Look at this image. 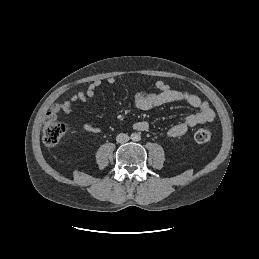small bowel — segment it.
Returning a JSON list of instances; mask_svg holds the SVG:
<instances>
[{
	"mask_svg": "<svg viewBox=\"0 0 259 259\" xmlns=\"http://www.w3.org/2000/svg\"><path fill=\"white\" fill-rule=\"evenodd\" d=\"M107 83L112 85L115 79L110 77ZM102 82L96 80L92 82L86 90H81L74 93L68 100L62 103V110L69 114L72 111L73 104L80 101L84 104H91L95 97L96 90L101 87ZM157 92L141 91L134 96V105L137 109L148 111L170 102H184L196 109V112L187 115L182 122L172 125L167 130L169 137H180L184 135L190 128L196 125L207 123L215 118V112L210 105L201 100L197 95L185 90L173 89L169 84L162 80H158L155 84ZM133 127L138 131H148L150 124L147 121L135 122ZM83 129L87 132L96 133L99 128L84 124Z\"/></svg>",
	"mask_w": 259,
	"mask_h": 259,
	"instance_id": "small-bowel-1",
	"label": "small bowel"
}]
</instances>
